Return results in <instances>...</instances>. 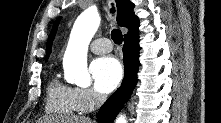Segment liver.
<instances>
[{
	"label": "liver",
	"instance_id": "liver-1",
	"mask_svg": "<svg viewBox=\"0 0 221 123\" xmlns=\"http://www.w3.org/2000/svg\"><path fill=\"white\" fill-rule=\"evenodd\" d=\"M49 122L55 121V122H62V123H92L90 119L85 118V117H71V118H66V119H53V120H48Z\"/></svg>",
	"mask_w": 221,
	"mask_h": 123
}]
</instances>
